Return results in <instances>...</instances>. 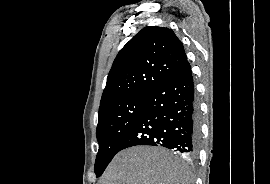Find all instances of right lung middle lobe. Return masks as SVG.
Returning a JSON list of instances; mask_svg holds the SVG:
<instances>
[{"mask_svg":"<svg viewBox=\"0 0 270 184\" xmlns=\"http://www.w3.org/2000/svg\"><path fill=\"white\" fill-rule=\"evenodd\" d=\"M147 96H131L109 103L99 109L97 140L99 151L95 161V174L100 176L119 146L142 113Z\"/></svg>","mask_w":270,"mask_h":184,"instance_id":"obj_1","label":"right lung middle lobe"}]
</instances>
